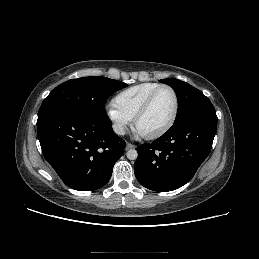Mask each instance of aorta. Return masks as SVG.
<instances>
[{"label":"aorta","instance_id":"aorta-1","mask_svg":"<svg viewBox=\"0 0 259 259\" xmlns=\"http://www.w3.org/2000/svg\"><path fill=\"white\" fill-rule=\"evenodd\" d=\"M126 155L129 160H135L138 157V153L135 149L128 150Z\"/></svg>","mask_w":259,"mask_h":259}]
</instances>
